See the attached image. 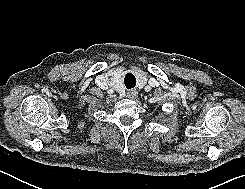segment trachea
Instances as JSON below:
<instances>
[{"label":"trachea","mask_w":245,"mask_h":189,"mask_svg":"<svg viewBox=\"0 0 245 189\" xmlns=\"http://www.w3.org/2000/svg\"><path fill=\"white\" fill-rule=\"evenodd\" d=\"M125 86L127 89L134 88L136 86L135 76L131 73H128L124 78Z\"/></svg>","instance_id":"obj_1"}]
</instances>
